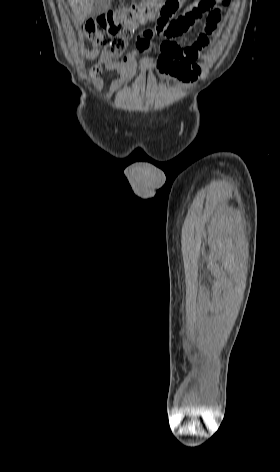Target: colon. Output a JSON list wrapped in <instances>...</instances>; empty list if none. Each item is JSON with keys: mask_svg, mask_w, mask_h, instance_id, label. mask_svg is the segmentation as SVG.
I'll return each instance as SVG.
<instances>
[{"mask_svg": "<svg viewBox=\"0 0 280 472\" xmlns=\"http://www.w3.org/2000/svg\"><path fill=\"white\" fill-rule=\"evenodd\" d=\"M220 0H202L200 8L210 11L207 22L210 24L220 20V11L215 5ZM184 0H142L130 5L109 11L86 22L85 37L94 46L101 47L111 58L121 55L128 44L134 30L147 22L170 20L179 10ZM229 0H222L228 4Z\"/></svg>", "mask_w": 280, "mask_h": 472, "instance_id": "5ec220e1", "label": "colon"}]
</instances>
